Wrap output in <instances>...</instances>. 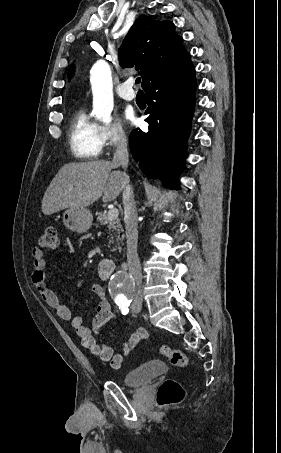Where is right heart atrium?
<instances>
[{"mask_svg":"<svg viewBox=\"0 0 281 453\" xmlns=\"http://www.w3.org/2000/svg\"><path fill=\"white\" fill-rule=\"evenodd\" d=\"M104 85H98L96 87V96H101L103 94V87ZM103 136L105 142L108 144L109 147H118L120 146L127 138V132L123 125L116 121L112 123H107L102 126Z\"/></svg>","mask_w":281,"mask_h":453,"instance_id":"1","label":"right heart atrium"}]
</instances>
